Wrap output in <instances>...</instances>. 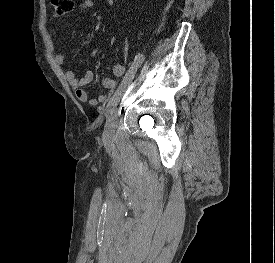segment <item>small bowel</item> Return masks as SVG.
Returning a JSON list of instances; mask_svg holds the SVG:
<instances>
[{"label":"small bowel","mask_w":275,"mask_h":263,"mask_svg":"<svg viewBox=\"0 0 275 263\" xmlns=\"http://www.w3.org/2000/svg\"><path fill=\"white\" fill-rule=\"evenodd\" d=\"M93 7L92 0H82L78 6L79 11H87ZM98 52V48L94 47L92 50L93 54ZM55 62L62 66L64 64L65 58L62 53H57L54 56ZM113 77L105 78L103 80V86L107 92L99 97H90L88 91L86 90V85L95 81V74L93 71L88 70L85 72L82 78H78L77 74L73 70L65 71V77L73 89L76 98L79 101L89 102L91 105H97L102 102H106L112 95V93L117 89L120 79L126 76L127 68L119 63L113 66Z\"/></svg>","instance_id":"c3829d8e"}]
</instances>
